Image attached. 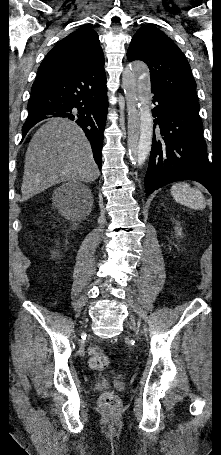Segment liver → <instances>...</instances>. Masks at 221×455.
<instances>
[{"label": "liver", "mask_w": 221, "mask_h": 455, "mask_svg": "<svg viewBox=\"0 0 221 455\" xmlns=\"http://www.w3.org/2000/svg\"><path fill=\"white\" fill-rule=\"evenodd\" d=\"M92 149L82 129L66 118H52L32 137L26 155L22 201L65 181L99 177Z\"/></svg>", "instance_id": "1"}]
</instances>
